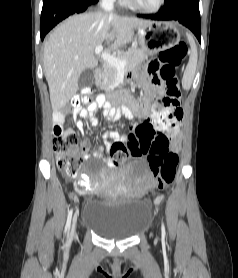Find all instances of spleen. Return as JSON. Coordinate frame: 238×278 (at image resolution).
I'll return each instance as SVG.
<instances>
[{
    "mask_svg": "<svg viewBox=\"0 0 238 278\" xmlns=\"http://www.w3.org/2000/svg\"><path fill=\"white\" fill-rule=\"evenodd\" d=\"M187 38L190 42L191 51H190L189 62L186 66V69L184 71L183 78H182V86L186 90L190 89V87L192 85V82H193V79L195 76V72H196L197 58H198L197 47H196V44H195L192 36L187 33Z\"/></svg>",
    "mask_w": 238,
    "mask_h": 278,
    "instance_id": "spleen-1",
    "label": "spleen"
}]
</instances>
